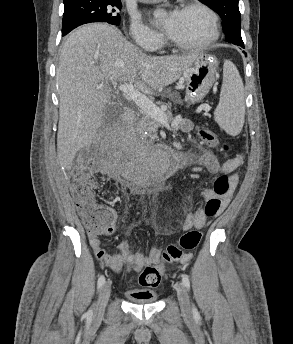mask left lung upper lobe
Instances as JSON below:
<instances>
[{"label":"left lung upper lobe","instance_id":"5c2ea615","mask_svg":"<svg viewBox=\"0 0 293 344\" xmlns=\"http://www.w3.org/2000/svg\"><path fill=\"white\" fill-rule=\"evenodd\" d=\"M216 11L223 20L225 39L234 45L244 46L241 37L239 0H199Z\"/></svg>","mask_w":293,"mask_h":344}]
</instances>
